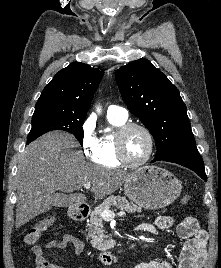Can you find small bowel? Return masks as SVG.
I'll return each instance as SVG.
<instances>
[{
	"label": "small bowel",
	"instance_id": "1",
	"mask_svg": "<svg viewBox=\"0 0 221 268\" xmlns=\"http://www.w3.org/2000/svg\"><path fill=\"white\" fill-rule=\"evenodd\" d=\"M174 225V219L170 216L160 215L153 223H142L137 226V232L157 233ZM176 230L180 238L185 240L182 248L179 265L177 268H202L206 259L207 232L200 228L195 217L187 216L177 225ZM72 247L76 254H81L85 248L84 242L79 238L66 234L59 239H54L44 244L34 245L35 268H64L50 263L44 256L47 249H66ZM134 268H174L168 261L154 260L137 264Z\"/></svg>",
	"mask_w": 221,
	"mask_h": 268
}]
</instances>
